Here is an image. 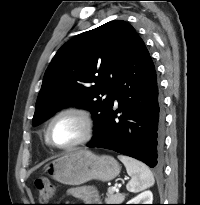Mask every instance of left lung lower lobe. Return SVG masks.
<instances>
[{
	"mask_svg": "<svg viewBox=\"0 0 200 205\" xmlns=\"http://www.w3.org/2000/svg\"><path fill=\"white\" fill-rule=\"evenodd\" d=\"M113 103L88 147L105 148L136 158L149 167L162 163L164 116L156 71L137 36L113 84ZM118 109H114V100ZM120 114L119 116H117Z\"/></svg>",
	"mask_w": 200,
	"mask_h": 205,
	"instance_id": "obj_1",
	"label": "left lung lower lobe"
}]
</instances>
